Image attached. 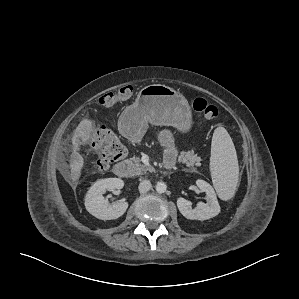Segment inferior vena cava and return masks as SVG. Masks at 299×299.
I'll list each match as a JSON object with an SVG mask.
<instances>
[{
  "mask_svg": "<svg viewBox=\"0 0 299 299\" xmlns=\"http://www.w3.org/2000/svg\"><path fill=\"white\" fill-rule=\"evenodd\" d=\"M152 187V184L149 180H142L139 184V192L140 193H146L149 191Z\"/></svg>",
  "mask_w": 299,
  "mask_h": 299,
  "instance_id": "602c4592",
  "label": "inferior vena cava"
}]
</instances>
